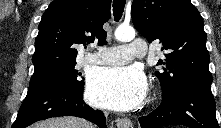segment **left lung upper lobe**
<instances>
[{"mask_svg": "<svg viewBox=\"0 0 221 128\" xmlns=\"http://www.w3.org/2000/svg\"><path fill=\"white\" fill-rule=\"evenodd\" d=\"M132 21L150 43L159 40L166 59L156 72L162 99L191 86L211 87L206 33L198 10L189 0H134Z\"/></svg>", "mask_w": 221, "mask_h": 128, "instance_id": "obj_1", "label": "left lung upper lobe"}]
</instances>
